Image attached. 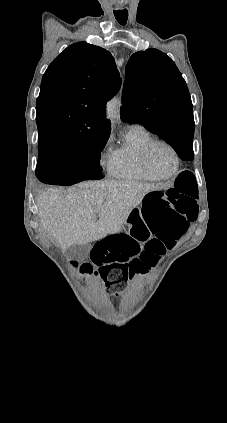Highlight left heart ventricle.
I'll use <instances>...</instances> for the list:
<instances>
[{
	"label": "left heart ventricle",
	"mask_w": 227,
	"mask_h": 423,
	"mask_svg": "<svg viewBox=\"0 0 227 423\" xmlns=\"http://www.w3.org/2000/svg\"><path fill=\"white\" fill-rule=\"evenodd\" d=\"M149 163L153 171L161 176L169 175L175 167L173 154L168 148L161 145L152 149L149 155Z\"/></svg>",
	"instance_id": "1"
}]
</instances>
